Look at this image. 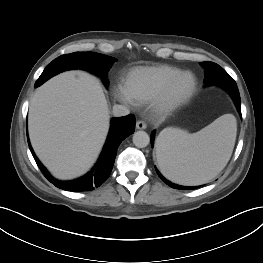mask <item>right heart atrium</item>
Returning a JSON list of instances; mask_svg holds the SVG:
<instances>
[{
    "label": "right heart atrium",
    "mask_w": 263,
    "mask_h": 263,
    "mask_svg": "<svg viewBox=\"0 0 263 263\" xmlns=\"http://www.w3.org/2000/svg\"><path fill=\"white\" fill-rule=\"evenodd\" d=\"M116 93H117L118 98L121 99L122 101H125V102H129L130 101V99L128 98V96H127V94L125 92L124 87L119 86L117 88Z\"/></svg>",
    "instance_id": "right-heart-atrium-1"
}]
</instances>
